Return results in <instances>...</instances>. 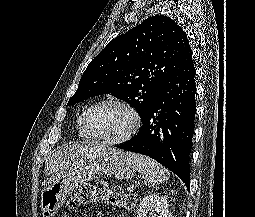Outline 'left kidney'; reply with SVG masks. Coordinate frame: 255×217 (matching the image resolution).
I'll return each instance as SVG.
<instances>
[{"label": "left kidney", "mask_w": 255, "mask_h": 217, "mask_svg": "<svg viewBox=\"0 0 255 217\" xmlns=\"http://www.w3.org/2000/svg\"><path fill=\"white\" fill-rule=\"evenodd\" d=\"M153 212H155L154 215ZM137 213V217H146L147 214H151L152 217H171L167 198L155 194L148 195L141 200L138 205Z\"/></svg>", "instance_id": "1"}]
</instances>
